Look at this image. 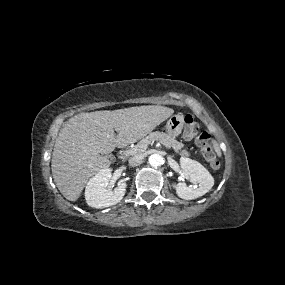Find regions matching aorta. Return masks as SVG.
I'll return each mask as SVG.
<instances>
[{"label": "aorta", "instance_id": "aorta-1", "mask_svg": "<svg viewBox=\"0 0 285 285\" xmlns=\"http://www.w3.org/2000/svg\"><path fill=\"white\" fill-rule=\"evenodd\" d=\"M148 160L149 164L153 167H158L163 164V157L160 154H152Z\"/></svg>", "mask_w": 285, "mask_h": 285}]
</instances>
